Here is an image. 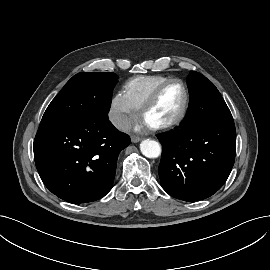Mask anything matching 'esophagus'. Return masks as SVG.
I'll use <instances>...</instances> for the list:
<instances>
[{
  "label": "esophagus",
  "instance_id": "obj_1",
  "mask_svg": "<svg viewBox=\"0 0 270 270\" xmlns=\"http://www.w3.org/2000/svg\"><path fill=\"white\" fill-rule=\"evenodd\" d=\"M140 140H141V138H140L139 136H136V135L131 136V141H132L133 143H137V142H139Z\"/></svg>",
  "mask_w": 270,
  "mask_h": 270
}]
</instances>
